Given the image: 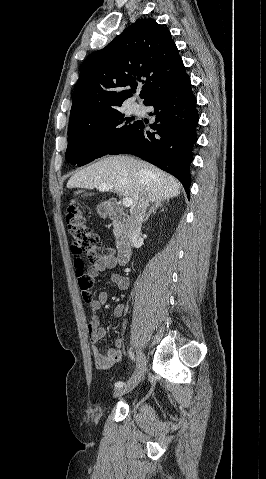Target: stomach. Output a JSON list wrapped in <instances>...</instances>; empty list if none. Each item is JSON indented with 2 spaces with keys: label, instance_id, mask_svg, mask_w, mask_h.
I'll use <instances>...</instances> for the list:
<instances>
[{
  "label": "stomach",
  "instance_id": "stomach-1",
  "mask_svg": "<svg viewBox=\"0 0 266 479\" xmlns=\"http://www.w3.org/2000/svg\"><path fill=\"white\" fill-rule=\"evenodd\" d=\"M97 211L101 216H107L110 212V207L107 204H100L97 207Z\"/></svg>",
  "mask_w": 266,
  "mask_h": 479
}]
</instances>
